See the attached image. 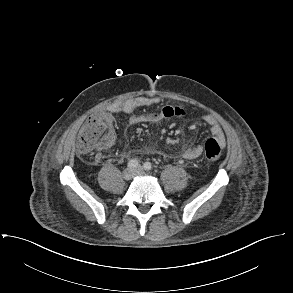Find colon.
I'll use <instances>...</instances> for the list:
<instances>
[{
	"instance_id": "1",
	"label": "colon",
	"mask_w": 293,
	"mask_h": 293,
	"mask_svg": "<svg viewBox=\"0 0 293 293\" xmlns=\"http://www.w3.org/2000/svg\"><path fill=\"white\" fill-rule=\"evenodd\" d=\"M185 112L173 106H166L161 114L166 117L183 115ZM114 140V120L108 112L91 114L84 123L78 139L77 152L82 155H91L100 148L110 145ZM222 155V147L214 138L205 142V159L208 162L218 160Z\"/></svg>"
}]
</instances>
